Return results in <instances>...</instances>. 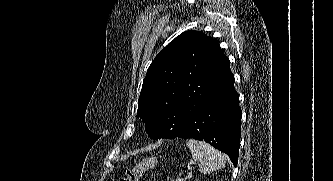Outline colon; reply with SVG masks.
Segmentation results:
<instances>
[{
  "instance_id": "1",
  "label": "colon",
  "mask_w": 333,
  "mask_h": 181,
  "mask_svg": "<svg viewBox=\"0 0 333 181\" xmlns=\"http://www.w3.org/2000/svg\"><path fill=\"white\" fill-rule=\"evenodd\" d=\"M157 164L158 159L156 157H147L128 169L125 177L119 181H139L145 172L154 169Z\"/></svg>"
}]
</instances>
